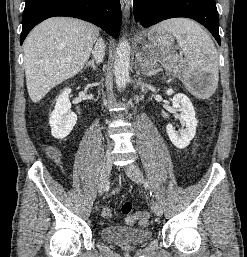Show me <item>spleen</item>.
I'll return each mask as SVG.
<instances>
[{
  "mask_svg": "<svg viewBox=\"0 0 247 257\" xmlns=\"http://www.w3.org/2000/svg\"><path fill=\"white\" fill-rule=\"evenodd\" d=\"M154 33L167 31L172 33L181 48L192 79H198L205 73L210 76L207 88L199 94L200 98H209L218 85V54L211 37L196 22L186 18H173L155 25ZM190 89L191 86L186 83Z\"/></svg>",
  "mask_w": 247,
  "mask_h": 257,
  "instance_id": "obj_1",
  "label": "spleen"
}]
</instances>
